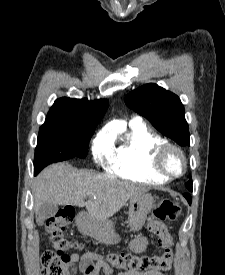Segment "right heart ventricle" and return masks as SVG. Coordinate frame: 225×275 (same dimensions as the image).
Listing matches in <instances>:
<instances>
[{
  "mask_svg": "<svg viewBox=\"0 0 225 275\" xmlns=\"http://www.w3.org/2000/svg\"><path fill=\"white\" fill-rule=\"evenodd\" d=\"M166 140L143 123H132L123 142L108 158L107 171L119 178L145 184L156 185L167 182L152 166L155 150Z\"/></svg>",
  "mask_w": 225,
  "mask_h": 275,
  "instance_id": "e07e8e85",
  "label": "right heart ventricle"
}]
</instances>
